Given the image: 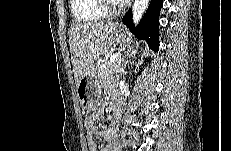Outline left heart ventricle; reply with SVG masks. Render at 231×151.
<instances>
[{"label":"left heart ventricle","mask_w":231,"mask_h":151,"mask_svg":"<svg viewBox=\"0 0 231 151\" xmlns=\"http://www.w3.org/2000/svg\"><path fill=\"white\" fill-rule=\"evenodd\" d=\"M114 4H117V2L116 1H112Z\"/></svg>","instance_id":"left-heart-ventricle-1"}]
</instances>
